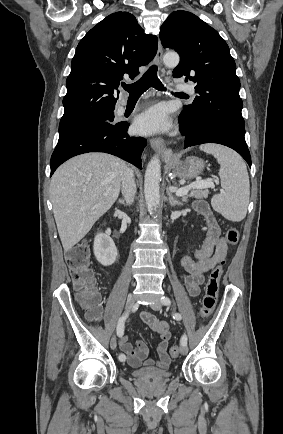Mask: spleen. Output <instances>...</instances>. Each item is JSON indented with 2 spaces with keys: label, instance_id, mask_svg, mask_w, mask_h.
Instances as JSON below:
<instances>
[{
  "label": "spleen",
  "instance_id": "obj_1",
  "mask_svg": "<svg viewBox=\"0 0 283 434\" xmlns=\"http://www.w3.org/2000/svg\"><path fill=\"white\" fill-rule=\"evenodd\" d=\"M200 149L212 154L220 164L219 176L223 192L212 198L213 209L230 221L243 220L250 196L245 162L236 152L221 145L205 144Z\"/></svg>",
  "mask_w": 283,
  "mask_h": 434
}]
</instances>
